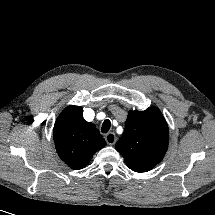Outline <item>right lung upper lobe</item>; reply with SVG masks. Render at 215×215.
<instances>
[{"label":"right lung upper lobe","instance_id":"right-lung-upper-lobe-1","mask_svg":"<svg viewBox=\"0 0 215 215\" xmlns=\"http://www.w3.org/2000/svg\"><path fill=\"white\" fill-rule=\"evenodd\" d=\"M79 106H68L57 118L54 142L60 158L71 168L81 169L93 154L105 146V140L94 124L83 118Z\"/></svg>","mask_w":215,"mask_h":215}]
</instances>
